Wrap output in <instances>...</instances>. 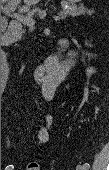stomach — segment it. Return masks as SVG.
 Wrapping results in <instances>:
<instances>
[{"mask_svg": "<svg viewBox=\"0 0 109 170\" xmlns=\"http://www.w3.org/2000/svg\"><path fill=\"white\" fill-rule=\"evenodd\" d=\"M82 0H67V2L69 3V4H75V3H79V2H81Z\"/></svg>", "mask_w": 109, "mask_h": 170, "instance_id": "stomach-1", "label": "stomach"}]
</instances>
